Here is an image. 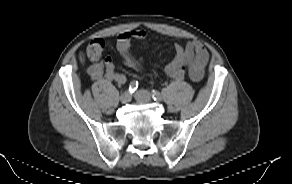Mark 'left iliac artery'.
I'll use <instances>...</instances> for the list:
<instances>
[{
  "instance_id": "obj_1",
  "label": "left iliac artery",
  "mask_w": 292,
  "mask_h": 184,
  "mask_svg": "<svg viewBox=\"0 0 292 184\" xmlns=\"http://www.w3.org/2000/svg\"><path fill=\"white\" fill-rule=\"evenodd\" d=\"M152 98L155 101H162V95L160 94V92H158L156 90H152Z\"/></svg>"
}]
</instances>
